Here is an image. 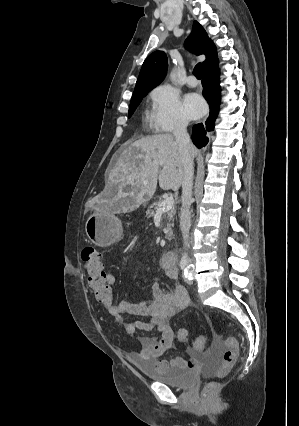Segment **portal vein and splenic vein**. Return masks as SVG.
I'll use <instances>...</instances> for the list:
<instances>
[{
  "mask_svg": "<svg viewBox=\"0 0 299 426\" xmlns=\"http://www.w3.org/2000/svg\"><path fill=\"white\" fill-rule=\"evenodd\" d=\"M148 182L145 181L144 184H147ZM174 204V198L173 197H167L163 200V202L159 205V209L157 213L165 212L172 208Z\"/></svg>",
  "mask_w": 299,
  "mask_h": 426,
  "instance_id": "obj_1",
  "label": "portal vein and splenic vein"
}]
</instances>
